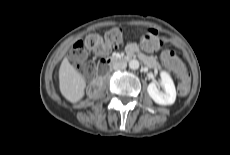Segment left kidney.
Segmentation results:
<instances>
[{
	"instance_id": "5707ae66",
	"label": "left kidney",
	"mask_w": 230,
	"mask_h": 155,
	"mask_svg": "<svg viewBox=\"0 0 230 155\" xmlns=\"http://www.w3.org/2000/svg\"><path fill=\"white\" fill-rule=\"evenodd\" d=\"M160 76L161 81L159 83H150L147 87V92L155 103L159 105H172L176 100L174 82L166 71H161ZM158 85L164 89V92L159 90Z\"/></svg>"
}]
</instances>
